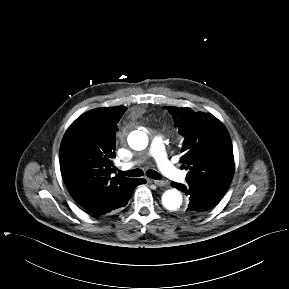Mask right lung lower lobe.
<instances>
[{"mask_svg":"<svg viewBox=\"0 0 289 289\" xmlns=\"http://www.w3.org/2000/svg\"><path fill=\"white\" fill-rule=\"evenodd\" d=\"M145 182H146L145 179H137L136 186L140 184H144Z\"/></svg>","mask_w":289,"mask_h":289,"instance_id":"obj_1","label":"right lung lower lobe"}]
</instances>
